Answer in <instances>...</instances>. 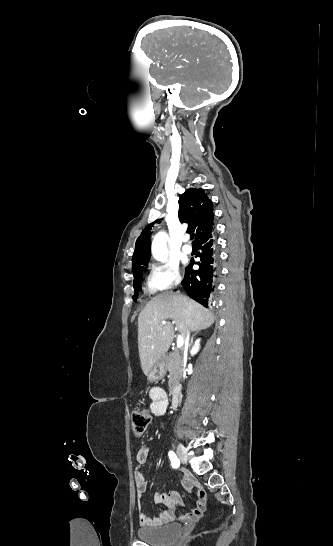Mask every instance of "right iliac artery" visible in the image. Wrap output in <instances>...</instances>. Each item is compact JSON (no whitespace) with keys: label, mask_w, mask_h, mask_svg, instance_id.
Instances as JSON below:
<instances>
[{"label":"right iliac artery","mask_w":333,"mask_h":546,"mask_svg":"<svg viewBox=\"0 0 333 546\" xmlns=\"http://www.w3.org/2000/svg\"><path fill=\"white\" fill-rule=\"evenodd\" d=\"M168 455L171 460L172 467L177 468L180 465L177 455L173 451H170Z\"/></svg>","instance_id":"1"}]
</instances>
